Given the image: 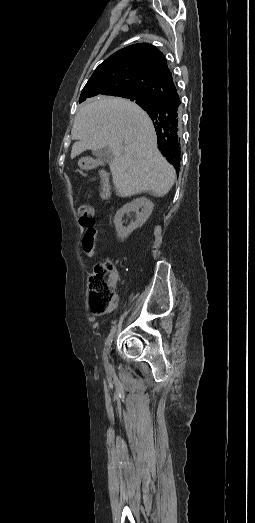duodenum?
<instances>
[{"label": "duodenum", "instance_id": "duodenum-1", "mask_svg": "<svg viewBox=\"0 0 255 523\" xmlns=\"http://www.w3.org/2000/svg\"><path fill=\"white\" fill-rule=\"evenodd\" d=\"M97 161L91 158H88L84 161V167L87 169H93L97 166Z\"/></svg>", "mask_w": 255, "mask_h": 523}]
</instances>
